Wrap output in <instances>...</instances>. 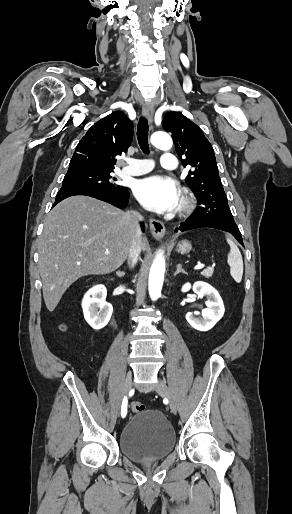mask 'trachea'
<instances>
[{"mask_svg":"<svg viewBox=\"0 0 292 514\" xmlns=\"http://www.w3.org/2000/svg\"><path fill=\"white\" fill-rule=\"evenodd\" d=\"M148 120L144 117H141L139 123L137 125V140L140 145L141 150L145 154H149V145H148Z\"/></svg>","mask_w":292,"mask_h":514,"instance_id":"trachea-1","label":"trachea"}]
</instances>
